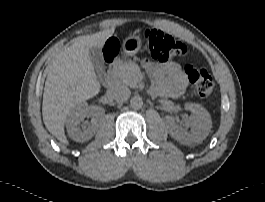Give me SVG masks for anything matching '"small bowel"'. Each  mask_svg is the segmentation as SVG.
Instances as JSON below:
<instances>
[{
    "mask_svg": "<svg viewBox=\"0 0 265 202\" xmlns=\"http://www.w3.org/2000/svg\"><path fill=\"white\" fill-rule=\"evenodd\" d=\"M142 66L152 81L149 89L152 94L176 97L184 93L186 77L178 63L169 61L157 64L144 60Z\"/></svg>",
    "mask_w": 265,
    "mask_h": 202,
    "instance_id": "1",
    "label": "small bowel"
}]
</instances>
